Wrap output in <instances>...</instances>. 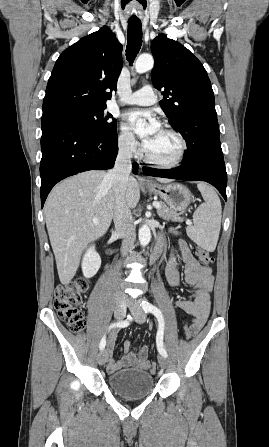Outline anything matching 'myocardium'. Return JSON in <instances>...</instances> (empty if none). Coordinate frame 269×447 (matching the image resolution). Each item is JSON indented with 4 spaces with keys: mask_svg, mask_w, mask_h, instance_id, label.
Returning <instances> with one entry per match:
<instances>
[{
    "mask_svg": "<svg viewBox=\"0 0 269 447\" xmlns=\"http://www.w3.org/2000/svg\"><path fill=\"white\" fill-rule=\"evenodd\" d=\"M162 127L164 129L168 130L169 132H171L173 135H175L179 139V141L181 143L180 150H179L176 158L173 161H171V162H160V161H157V160L153 159L149 155V153H148V151L146 149V146H145V142H144L143 145H142L144 159L149 164L155 165V166L160 167V168H166V169L176 168V167H178L182 163V161L184 160V157L186 155V152H187V149H188L187 139L185 138V136L180 131H178L176 128L172 127L171 125L165 124Z\"/></svg>",
    "mask_w": 269,
    "mask_h": 447,
    "instance_id": "f54148a6",
    "label": "myocardium"
}]
</instances>
